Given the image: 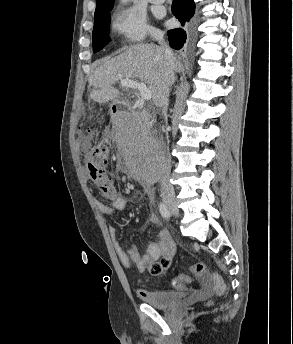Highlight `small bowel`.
Wrapping results in <instances>:
<instances>
[{"label": "small bowel", "instance_id": "small-bowel-1", "mask_svg": "<svg viewBox=\"0 0 293 344\" xmlns=\"http://www.w3.org/2000/svg\"><path fill=\"white\" fill-rule=\"evenodd\" d=\"M79 146L82 150H87L90 146V139L86 135H79ZM126 207V200L123 196L117 195L113 199L111 205L104 203L98 204V209L102 214L111 217L114 210H122ZM149 222L153 225L160 226L161 222L157 215L152 214L149 217ZM118 230L116 227H109V234L112 239L114 250L119 260L128 268L135 269L138 272H147L152 276H158L166 272L169 268L173 256L176 251L175 243L166 229H161L158 233L157 242H149L144 253L138 247L132 245L129 250H124L117 239ZM184 286L178 287L185 289ZM215 291L214 284L207 278H200V287L195 289L192 293V300L202 299L211 295ZM139 295L143 297L144 290L138 291Z\"/></svg>", "mask_w": 293, "mask_h": 344}]
</instances>
